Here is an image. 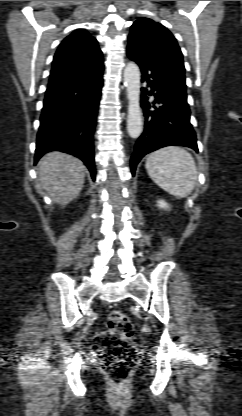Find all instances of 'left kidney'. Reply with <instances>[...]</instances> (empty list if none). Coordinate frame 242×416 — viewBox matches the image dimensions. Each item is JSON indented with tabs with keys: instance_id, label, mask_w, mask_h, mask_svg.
I'll return each mask as SVG.
<instances>
[{
	"instance_id": "5707ae66",
	"label": "left kidney",
	"mask_w": 242,
	"mask_h": 416,
	"mask_svg": "<svg viewBox=\"0 0 242 416\" xmlns=\"http://www.w3.org/2000/svg\"><path fill=\"white\" fill-rule=\"evenodd\" d=\"M157 203H158V207L161 208V209H168L169 208L168 204L163 200H159Z\"/></svg>"
}]
</instances>
